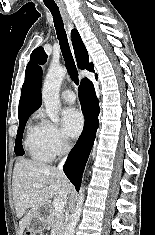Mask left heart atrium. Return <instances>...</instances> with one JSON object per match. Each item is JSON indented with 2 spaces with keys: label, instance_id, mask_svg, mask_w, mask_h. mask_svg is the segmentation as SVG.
<instances>
[{
  "label": "left heart atrium",
  "instance_id": "left-heart-atrium-1",
  "mask_svg": "<svg viewBox=\"0 0 155 235\" xmlns=\"http://www.w3.org/2000/svg\"><path fill=\"white\" fill-rule=\"evenodd\" d=\"M64 133L70 137H77L83 129L84 118L81 112L75 108H68L62 113Z\"/></svg>",
  "mask_w": 155,
  "mask_h": 235
}]
</instances>
